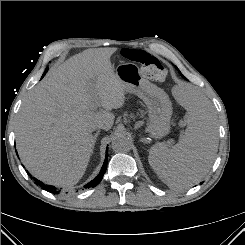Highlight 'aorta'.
Listing matches in <instances>:
<instances>
[{
	"label": "aorta",
	"instance_id": "762f6f07",
	"mask_svg": "<svg viewBox=\"0 0 245 245\" xmlns=\"http://www.w3.org/2000/svg\"><path fill=\"white\" fill-rule=\"evenodd\" d=\"M112 149L115 152H129L131 150V142L130 140L124 135L116 136L112 141Z\"/></svg>",
	"mask_w": 245,
	"mask_h": 245
}]
</instances>
